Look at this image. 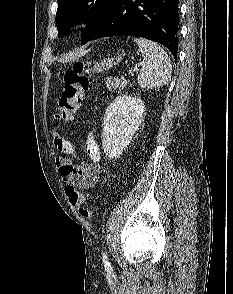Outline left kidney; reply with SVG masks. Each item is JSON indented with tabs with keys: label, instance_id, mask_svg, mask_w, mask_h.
I'll list each match as a JSON object with an SVG mask.
<instances>
[{
	"label": "left kidney",
	"instance_id": "left-kidney-1",
	"mask_svg": "<svg viewBox=\"0 0 233 294\" xmlns=\"http://www.w3.org/2000/svg\"><path fill=\"white\" fill-rule=\"evenodd\" d=\"M145 112L144 102L140 98L122 95L107 108L102 133V146L105 155L117 158L130 144L141 124Z\"/></svg>",
	"mask_w": 233,
	"mask_h": 294
}]
</instances>
